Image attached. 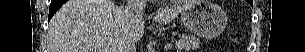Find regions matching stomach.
<instances>
[{
  "label": "stomach",
  "mask_w": 305,
  "mask_h": 52,
  "mask_svg": "<svg viewBox=\"0 0 305 52\" xmlns=\"http://www.w3.org/2000/svg\"><path fill=\"white\" fill-rule=\"evenodd\" d=\"M180 15L183 25L200 37H216L227 25L226 13L208 0L193 1Z\"/></svg>",
  "instance_id": "stomach-1"
}]
</instances>
